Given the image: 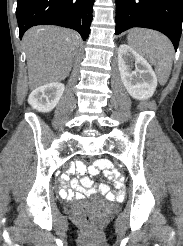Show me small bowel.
I'll list each match as a JSON object with an SVG mask.
<instances>
[{
    "instance_id": "1",
    "label": "small bowel",
    "mask_w": 183,
    "mask_h": 246,
    "mask_svg": "<svg viewBox=\"0 0 183 246\" xmlns=\"http://www.w3.org/2000/svg\"><path fill=\"white\" fill-rule=\"evenodd\" d=\"M111 164V160L100 159L96 160L93 165L88 168L82 163L67 165V169L64 170L65 174H59V179L66 181V179H70V174L77 172L76 179L74 178L70 181V187L75 193L67 190L68 184H59V189H61L60 198L74 199L99 193L106 196L108 199H119L122 196L121 193H126L127 191L126 188H123L124 186L122 184L125 182L126 176L125 174H116V169H109ZM87 170L91 174H97L98 171L100 174H106L110 178V183H117L119 180L118 183L113 186L117 193L112 192L110 187L106 184L94 185L92 180L86 175Z\"/></svg>"
}]
</instances>
